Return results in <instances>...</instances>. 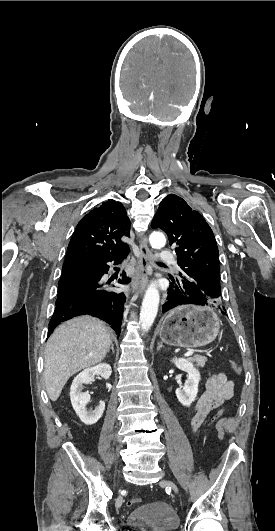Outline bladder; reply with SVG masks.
<instances>
[{
	"mask_svg": "<svg viewBox=\"0 0 275 531\" xmlns=\"http://www.w3.org/2000/svg\"><path fill=\"white\" fill-rule=\"evenodd\" d=\"M130 528L138 531H178L180 520L172 507L165 502L139 505L129 515Z\"/></svg>",
	"mask_w": 275,
	"mask_h": 531,
	"instance_id": "1",
	"label": "bladder"
}]
</instances>
